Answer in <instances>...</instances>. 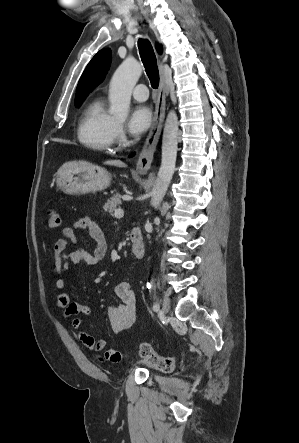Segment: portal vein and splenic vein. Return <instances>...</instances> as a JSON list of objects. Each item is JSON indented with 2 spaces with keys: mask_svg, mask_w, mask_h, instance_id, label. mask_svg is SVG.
<instances>
[{
  "mask_svg": "<svg viewBox=\"0 0 299 443\" xmlns=\"http://www.w3.org/2000/svg\"><path fill=\"white\" fill-rule=\"evenodd\" d=\"M115 218H121L124 216V211L122 209H116L114 212Z\"/></svg>",
  "mask_w": 299,
  "mask_h": 443,
  "instance_id": "portal-vein-and-splenic-vein-1",
  "label": "portal vein and splenic vein"
}]
</instances>
